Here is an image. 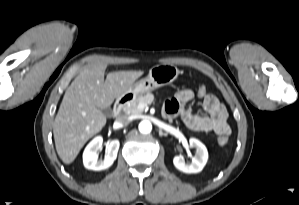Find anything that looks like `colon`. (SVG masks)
<instances>
[{"instance_id":"1","label":"colon","mask_w":299,"mask_h":205,"mask_svg":"<svg viewBox=\"0 0 299 205\" xmlns=\"http://www.w3.org/2000/svg\"><path fill=\"white\" fill-rule=\"evenodd\" d=\"M197 94L199 97H203L207 94V89L204 85H199L197 87ZM229 141V136L228 134H220L218 137H217V142L219 145L221 146H224L228 143Z\"/></svg>"}]
</instances>
